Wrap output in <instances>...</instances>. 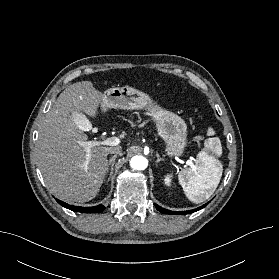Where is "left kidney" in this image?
<instances>
[{"label":"left kidney","mask_w":279,"mask_h":279,"mask_svg":"<svg viewBox=\"0 0 279 279\" xmlns=\"http://www.w3.org/2000/svg\"><path fill=\"white\" fill-rule=\"evenodd\" d=\"M172 175L171 174H168V175H166L165 176V178H164V182H165V184L167 185V186H171V183H172Z\"/></svg>","instance_id":"obj_1"}]
</instances>
